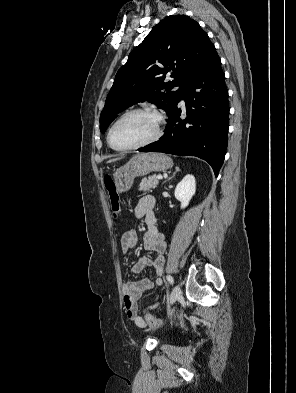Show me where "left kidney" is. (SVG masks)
Returning a JSON list of instances; mask_svg holds the SVG:
<instances>
[{"instance_id": "5707ae66", "label": "left kidney", "mask_w": 296, "mask_h": 393, "mask_svg": "<svg viewBox=\"0 0 296 393\" xmlns=\"http://www.w3.org/2000/svg\"><path fill=\"white\" fill-rule=\"evenodd\" d=\"M196 191L195 177L191 174L186 175L175 189V198L181 202V209L188 206Z\"/></svg>"}]
</instances>
